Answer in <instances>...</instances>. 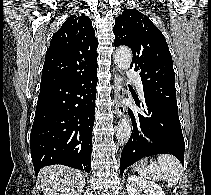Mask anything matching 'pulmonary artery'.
Returning <instances> with one entry per match:
<instances>
[{
  "instance_id": "obj_1",
  "label": "pulmonary artery",
  "mask_w": 211,
  "mask_h": 195,
  "mask_svg": "<svg viewBox=\"0 0 211 195\" xmlns=\"http://www.w3.org/2000/svg\"><path fill=\"white\" fill-rule=\"evenodd\" d=\"M128 77L135 82L140 94L143 95V85L138 73L134 72L133 70H129Z\"/></svg>"
}]
</instances>
